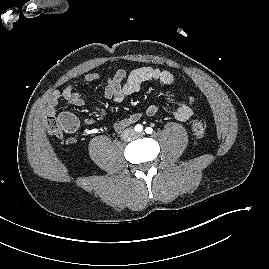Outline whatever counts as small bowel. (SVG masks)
Returning a JSON list of instances; mask_svg holds the SVG:
<instances>
[{
	"mask_svg": "<svg viewBox=\"0 0 269 269\" xmlns=\"http://www.w3.org/2000/svg\"><path fill=\"white\" fill-rule=\"evenodd\" d=\"M101 79L102 77L98 73H87L79 80L67 85L62 91H53L48 98L46 112L49 115H53L56 112V106L61 99L77 107L83 106L85 103L84 98L75 90V86L80 83L100 81ZM148 81H158L163 85H172L175 82V77L167 70L153 68L150 66L139 67L130 72H127L123 68H119L113 76L106 79L104 97L120 103L128 96L138 92L141 86ZM194 102V96H189L186 100L181 101L175 112V119L179 122L188 121L193 115ZM157 111L158 108L155 105H150L147 107L145 113L147 116L152 117L157 113ZM141 118V112H134L126 118L115 122L114 130L116 132H121L126 127L137 123ZM84 123L86 125H92L94 120L86 119Z\"/></svg>",
	"mask_w": 269,
	"mask_h": 269,
	"instance_id": "obj_1",
	"label": "small bowel"
}]
</instances>
